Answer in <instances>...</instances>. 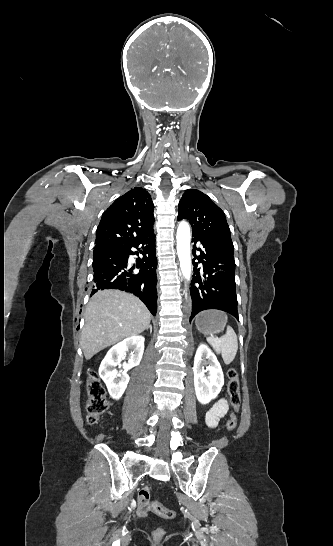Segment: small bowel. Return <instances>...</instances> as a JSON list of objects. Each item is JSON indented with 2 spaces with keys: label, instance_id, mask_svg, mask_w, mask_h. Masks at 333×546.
Here are the masks:
<instances>
[{
  "label": "small bowel",
  "instance_id": "1",
  "mask_svg": "<svg viewBox=\"0 0 333 546\" xmlns=\"http://www.w3.org/2000/svg\"><path fill=\"white\" fill-rule=\"evenodd\" d=\"M229 406L224 399L217 401L206 413L205 422L210 429H216L220 420L228 412ZM151 498V491L149 488L142 489L138 494V508L139 515H146L149 512V502Z\"/></svg>",
  "mask_w": 333,
  "mask_h": 546
}]
</instances>
